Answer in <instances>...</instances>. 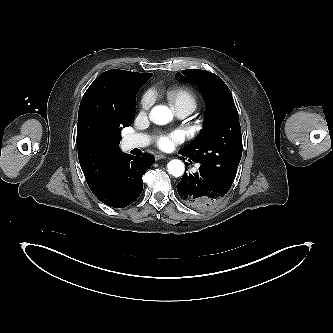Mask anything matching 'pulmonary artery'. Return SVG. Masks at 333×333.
<instances>
[{
	"instance_id": "obj_1",
	"label": "pulmonary artery",
	"mask_w": 333,
	"mask_h": 333,
	"mask_svg": "<svg viewBox=\"0 0 333 333\" xmlns=\"http://www.w3.org/2000/svg\"><path fill=\"white\" fill-rule=\"evenodd\" d=\"M193 111L190 109H179L176 110L177 115L180 118H185L190 115ZM150 140L147 135L144 134H131L126 137L125 143L127 148H143L149 144Z\"/></svg>"
}]
</instances>
